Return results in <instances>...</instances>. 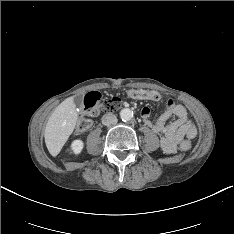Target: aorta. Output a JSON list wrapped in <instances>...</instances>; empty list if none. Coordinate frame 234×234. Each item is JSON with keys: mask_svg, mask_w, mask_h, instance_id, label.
Segmentation results:
<instances>
[{"mask_svg": "<svg viewBox=\"0 0 234 234\" xmlns=\"http://www.w3.org/2000/svg\"><path fill=\"white\" fill-rule=\"evenodd\" d=\"M120 117L123 121H129L133 118V112L129 108L120 111Z\"/></svg>", "mask_w": 234, "mask_h": 234, "instance_id": "762f6f07", "label": "aorta"}]
</instances>
